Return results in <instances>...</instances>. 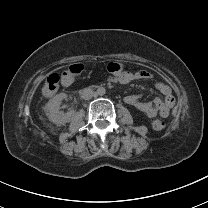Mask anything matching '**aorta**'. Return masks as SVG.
<instances>
[{"label": "aorta", "mask_w": 208, "mask_h": 208, "mask_svg": "<svg viewBox=\"0 0 208 208\" xmlns=\"http://www.w3.org/2000/svg\"><path fill=\"white\" fill-rule=\"evenodd\" d=\"M95 93H96L97 96L103 97V96L106 95L107 90H106L105 87L99 86V87L96 88Z\"/></svg>", "instance_id": "762f6f07"}]
</instances>
